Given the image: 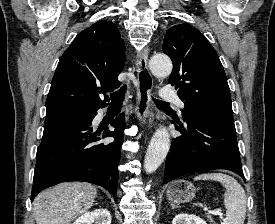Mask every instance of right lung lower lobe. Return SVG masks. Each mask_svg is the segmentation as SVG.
I'll return each mask as SVG.
<instances>
[{
  "label": "right lung lower lobe",
  "instance_id": "1",
  "mask_svg": "<svg viewBox=\"0 0 275 224\" xmlns=\"http://www.w3.org/2000/svg\"><path fill=\"white\" fill-rule=\"evenodd\" d=\"M102 105L86 115L46 118L37 149L31 201L45 188L67 181H84L104 187L117 201L118 162L124 135V113L112 122L114 131H94L93 118ZM114 137L111 143H101Z\"/></svg>",
  "mask_w": 275,
  "mask_h": 224
}]
</instances>
